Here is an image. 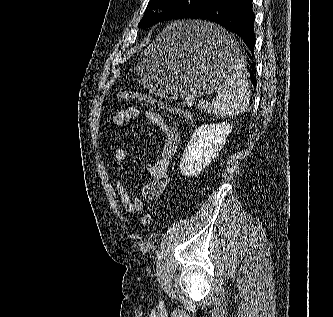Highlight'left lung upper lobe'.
<instances>
[{
    "label": "left lung upper lobe",
    "instance_id": "1",
    "mask_svg": "<svg viewBox=\"0 0 333 317\" xmlns=\"http://www.w3.org/2000/svg\"><path fill=\"white\" fill-rule=\"evenodd\" d=\"M212 1L213 0H150L148 3L150 9H164L166 13L159 15L151 11H145L138 26L144 28L164 20L186 19L190 13L203 8Z\"/></svg>",
    "mask_w": 333,
    "mask_h": 317
}]
</instances>
